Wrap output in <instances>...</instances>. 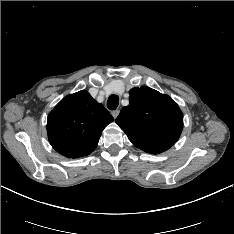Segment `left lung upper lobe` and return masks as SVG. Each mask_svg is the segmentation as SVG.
Segmentation results:
<instances>
[{"label":"left lung upper lobe","mask_w":234,"mask_h":234,"mask_svg":"<svg viewBox=\"0 0 234 234\" xmlns=\"http://www.w3.org/2000/svg\"><path fill=\"white\" fill-rule=\"evenodd\" d=\"M129 100L116 123L136 147L158 154L176 143L183 128V114L171 97L140 87L130 90Z\"/></svg>","instance_id":"left-lung-upper-lobe-1"}]
</instances>
